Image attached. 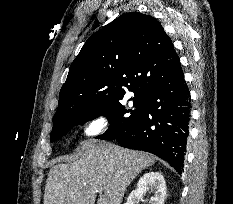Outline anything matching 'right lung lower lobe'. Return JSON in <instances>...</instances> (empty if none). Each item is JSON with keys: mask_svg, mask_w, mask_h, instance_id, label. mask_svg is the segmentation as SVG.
<instances>
[{"mask_svg": "<svg viewBox=\"0 0 233 204\" xmlns=\"http://www.w3.org/2000/svg\"><path fill=\"white\" fill-rule=\"evenodd\" d=\"M190 101L178 62L146 94L144 110L137 120L109 140L116 139L125 148L153 153L181 173L189 136Z\"/></svg>", "mask_w": 233, "mask_h": 204, "instance_id": "98d812e1", "label": "right lung lower lobe"}]
</instances>
